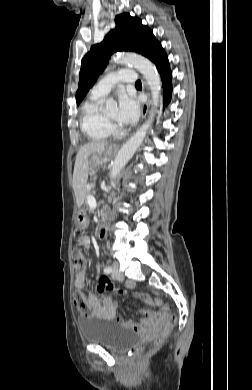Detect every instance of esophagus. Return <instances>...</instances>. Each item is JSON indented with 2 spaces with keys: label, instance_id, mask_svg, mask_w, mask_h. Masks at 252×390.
Masks as SVG:
<instances>
[{
  "label": "esophagus",
  "instance_id": "esophagus-1",
  "mask_svg": "<svg viewBox=\"0 0 252 390\" xmlns=\"http://www.w3.org/2000/svg\"><path fill=\"white\" fill-rule=\"evenodd\" d=\"M142 85H143V91L146 94V101H145V103L143 104V107H142L141 120L143 121L145 119L147 113H148V109H149V105H150L151 99H150V94H149V89H148L147 83H146V81L143 78H142Z\"/></svg>",
  "mask_w": 252,
  "mask_h": 390
}]
</instances>
